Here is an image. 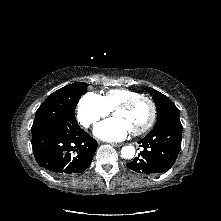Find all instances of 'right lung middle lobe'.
Returning a JSON list of instances; mask_svg holds the SVG:
<instances>
[{"label":"right lung middle lobe","mask_w":221,"mask_h":221,"mask_svg":"<svg viewBox=\"0 0 221 221\" xmlns=\"http://www.w3.org/2000/svg\"><path fill=\"white\" fill-rule=\"evenodd\" d=\"M88 84L75 82L52 93L36 111V117L31 131H35L44 124L63 120L77 124L75 108L79 98L86 92Z\"/></svg>","instance_id":"dd1d6c3e"}]
</instances>
